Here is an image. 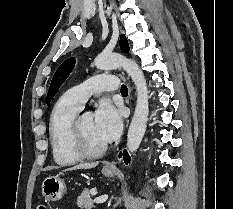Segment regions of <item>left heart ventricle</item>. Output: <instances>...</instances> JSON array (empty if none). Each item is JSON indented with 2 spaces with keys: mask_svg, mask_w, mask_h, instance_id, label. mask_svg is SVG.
Masks as SVG:
<instances>
[{
  "mask_svg": "<svg viewBox=\"0 0 233 209\" xmlns=\"http://www.w3.org/2000/svg\"><path fill=\"white\" fill-rule=\"evenodd\" d=\"M80 129L83 140L89 148L98 149L105 144L95 133L93 117L83 116L80 121Z\"/></svg>",
  "mask_w": 233,
  "mask_h": 209,
  "instance_id": "left-heart-ventricle-1",
  "label": "left heart ventricle"
}]
</instances>
